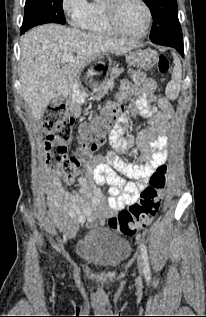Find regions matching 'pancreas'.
<instances>
[{"instance_id": "obj_1", "label": "pancreas", "mask_w": 206, "mask_h": 317, "mask_svg": "<svg viewBox=\"0 0 206 317\" xmlns=\"http://www.w3.org/2000/svg\"><path fill=\"white\" fill-rule=\"evenodd\" d=\"M122 72V70H116L115 75H110V78L107 79L105 85L103 87H98V92L96 95L91 94L90 99L99 98L104 95L106 92H114V80L118 77V75Z\"/></svg>"}]
</instances>
